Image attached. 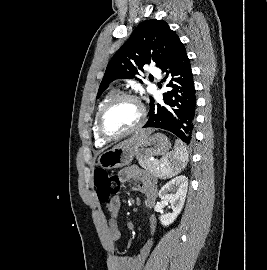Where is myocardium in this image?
<instances>
[{
    "label": "myocardium",
    "mask_w": 267,
    "mask_h": 270,
    "mask_svg": "<svg viewBox=\"0 0 267 270\" xmlns=\"http://www.w3.org/2000/svg\"><path fill=\"white\" fill-rule=\"evenodd\" d=\"M124 100H131L136 102L139 107H140V119L138 121V123L132 127L131 129L122 132L120 134H116V135H111L109 134L105 128H104V118L106 113L117 103L124 101ZM146 109L143 106V104L140 102V100L133 94H129V93H120V94H116L115 96H113L110 100H108L103 107L100 109L98 115H97V121H96V129H97V133L99 135V137L106 141V142H111V141H116L119 139H122L128 135H131L135 132H137L140 128H142V126L145 124L146 122Z\"/></svg>",
    "instance_id": "obj_1"
}]
</instances>
